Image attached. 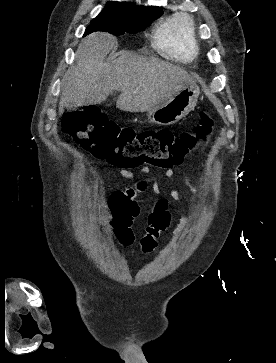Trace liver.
<instances>
[{"label":"liver","mask_w":276,"mask_h":363,"mask_svg":"<svg viewBox=\"0 0 276 363\" xmlns=\"http://www.w3.org/2000/svg\"><path fill=\"white\" fill-rule=\"evenodd\" d=\"M116 46L117 40L108 33L96 32L82 39L75 64L62 80L60 115L64 108L100 104L113 91L121 92L116 102L120 110L150 111L194 81L177 65L127 51L106 61Z\"/></svg>","instance_id":"obj_1"}]
</instances>
